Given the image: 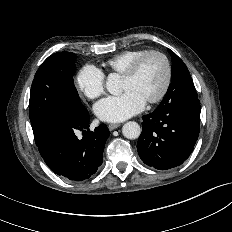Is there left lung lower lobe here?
<instances>
[{"label": "left lung lower lobe", "mask_w": 232, "mask_h": 232, "mask_svg": "<svg viewBox=\"0 0 232 232\" xmlns=\"http://www.w3.org/2000/svg\"><path fill=\"white\" fill-rule=\"evenodd\" d=\"M137 151L150 167L168 170L192 153L200 129V101L180 97L144 115Z\"/></svg>", "instance_id": "left-lung-lower-lobe-1"}]
</instances>
